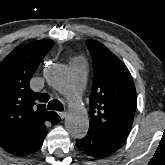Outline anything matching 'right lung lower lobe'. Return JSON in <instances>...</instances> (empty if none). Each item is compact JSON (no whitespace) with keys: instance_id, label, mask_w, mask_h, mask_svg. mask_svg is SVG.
Masks as SVG:
<instances>
[{"instance_id":"right-lung-lower-lobe-1","label":"right lung lower lobe","mask_w":165,"mask_h":165,"mask_svg":"<svg viewBox=\"0 0 165 165\" xmlns=\"http://www.w3.org/2000/svg\"><path fill=\"white\" fill-rule=\"evenodd\" d=\"M59 121H60V117L56 120L54 125L57 124ZM46 134H47V130L39 138L26 143L22 148H20L18 151L14 152L12 154H14L16 156H24V155H28V154H31V153L37 151L38 149L41 148Z\"/></svg>"}]
</instances>
